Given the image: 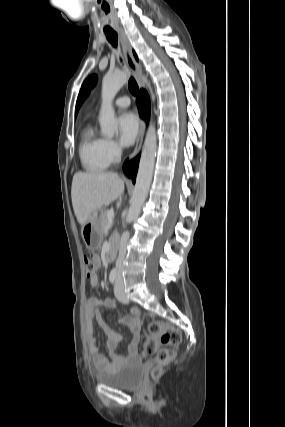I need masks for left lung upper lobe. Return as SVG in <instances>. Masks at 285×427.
<instances>
[{"instance_id":"5c2ea615","label":"left lung upper lobe","mask_w":285,"mask_h":427,"mask_svg":"<svg viewBox=\"0 0 285 427\" xmlns=\"http://www.w3.org/2000/svg\"><path fill=\"white\" fill-rule=\"evenodd\" d=\"M96 82H97L96 75H92L89 78H87V80L83 83L81 90L79 92V95H78L77 104H76V111L78 110V108L80 107V105L82 104L84 99L88 96L91 88L94 87Z\"/></svg>"}]
</instances>
